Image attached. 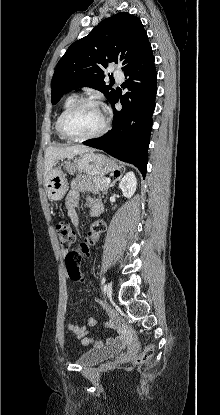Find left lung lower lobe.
Masks as SVG:
<instances>
[{
    "mask_svg": "<svg viewBox=\"0 0 220 415\" xmlns=\"http://www.w3.org/2000/svg\"><path fill=\"white\" fill-rule=\"evenodd\" d=\"M124 75L128 77L123 84L128 92L123 96L115 93L110 100L114 112L111 131L83 143L135 165L145 178L157 93L154 56L141 65L125 70ZM119 100L122 104L120 111L115 109V103Z\"/></svg>",
    "mask_w": 220,
    "mask_h": 415,
    "instance_id": "left-lung-lower-lobe-1",
    "label": "left lung lower lobe"
}]
</instances>
